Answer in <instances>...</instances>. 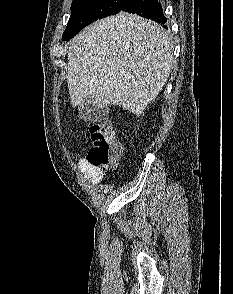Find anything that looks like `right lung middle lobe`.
Returning <instances> with one entry per match:
<instances>
[{"mask_svg":"<svg viewBox=\"0 0 233 294\" xmlns=\"http://www.w3.org/2000/svg\"><path fill=\"white\" fill-rule=\"evenodd\" d=\"M128 0H73L71 16L62 39L74 37L90 23L117 14Z\"/></svg>","mask_w":233,"mask_h":294,"instance_id":"dd1d6c3e","label":"right lung middle lobe"}]
</instances>
